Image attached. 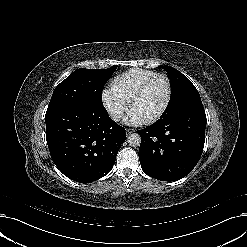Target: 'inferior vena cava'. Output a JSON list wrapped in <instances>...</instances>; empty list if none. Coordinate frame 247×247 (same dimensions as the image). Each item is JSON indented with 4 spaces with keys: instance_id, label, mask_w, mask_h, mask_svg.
<instances>
[{
    "instance_id": "1",
    "label": "inferior vena cava",
    "mask_w": 247,
    "mask_h": 247,
    "mask_svg": "<svg viewBox=\"0 0 247 247\" xmlns=\"http://www.w3.org/2000/svg\"><path fill=\"white\" fill-rule=\"evenodd\" d=\"M110 116L114 121L118 122L123 117V112L120 110H112Z\"/></svg>"
}]
</instances>
